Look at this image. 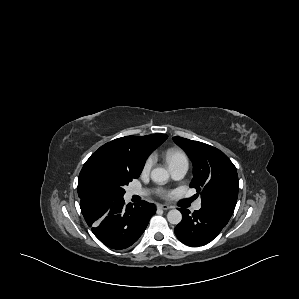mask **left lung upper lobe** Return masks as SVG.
<instances>
[{
    "instance_id": "5c2ea615",
    "label": "left lung upper lobe",
    "mask_w": 299,
    "mask_h": 299,
    "mask_svg": "<svg viewBox=\"0 0 299 299\" xmlns=\"http://www.w3.org/2000/svg\"><path fill=\"white\" fill-rule=\"evenodd\" d=\"M173 140L193 162L194 177L190 187L201 193L202 208L229 221L239 187L234 164L222 151L208 144L182 137H173Z\"/></svg>"
}]
</instances>
